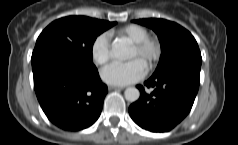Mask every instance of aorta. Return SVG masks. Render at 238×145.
I'll list each match as a JSON object with an SVG mask.
<instances>
[{
    "label": "aorta",
    "instance_id": "aorta-1",
    "mask_svg": "<svg viewBox=\"0 0 238 145\" xmlns=\"http://www.w3.org/2000/svg\"><path fill=\"white\" fill-rule=\"evenodd\" d=\"M113 55L120 60H126L131 58L132 51L128 45L122 40H116L112 44ZM125 98L129 102H135L140 97V92L135 87H128L124 92Z\"/></svg>",
    "mask_w": 238,
    "mask_h": 145
}]
</instances>
